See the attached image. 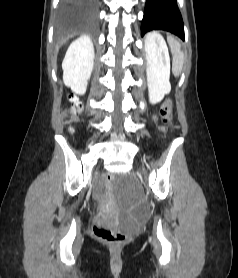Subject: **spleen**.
<instances>
[{
	"label": "spleen",
	"mask_w": 238,
	"mask_h": 278,
	"mask_svg": "<svg viewBox=\"0 0 238 278\" xmlns=\"http://www.w3.org/2000/svg\"><path fill=\"white\" fill-rule=\"evenodd\" d=\"M171 53L173 55V73L175 76H179L184 63V54L181 51L180 43L172 36L167 37Z\"/></svg>",
	"instance_id": "spleen-1"
}]
</instances>
